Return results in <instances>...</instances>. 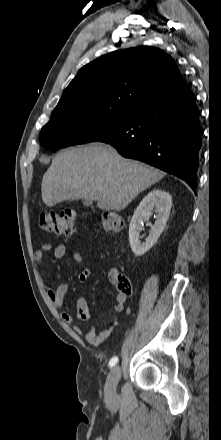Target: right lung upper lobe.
<instances>
[{"mask_svg":"<svg viewBox=\"0 0 221 440\" xmlns=\"http://www.w3.org/2000/svg\"><path fill=\"white\" fill-rule=\"evenodd\" d=\"M186 87L174 60L148 46L111 52L82 67L56 108L73 103L114 102L138 108Z\"/></svg>","mask_w":221,"mask_h":440,"instance_id":"1","label":"right lung upper lobe"}]
</instances>
